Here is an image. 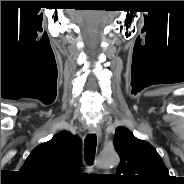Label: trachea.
<instances>
[{
    "instance_id": "obj_1",
    "label": "trachea",
    "mask_w": 184,
    "mask_h": 184,
    "mask_svg": "<svg viewBox=\"0 0 184 184\" xmlns=\"http://www.w3.org/2000/svg\"><path fill=\"white\" fill-rule=\"evenodd\" d=\"M97 138L95 134L88 135L84 141V155L87 164L91 165L95 158Z\"/></svg>"
}]
</instances>
